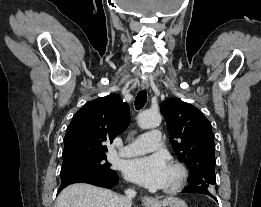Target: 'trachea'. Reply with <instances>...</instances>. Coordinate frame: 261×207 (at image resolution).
Instances as JSON below:
<instances>
[{
  "mask_svg": "<svg viewBox=\"0 0 261 207\" xmlns=\"http://www.w3.org/2000/svg\"><path fill=\"white\" fill-rule=\"evenodd\" d=\"M146 100H147V91L146 90L140 91L135 99V108L137 110L142 109L146 103Z\"/></svg>",
  "mask_w": 261,
  "mask_h": 207,
  "instance_id": "obj_1",
  "label": "trachea"
}]
</instances>
